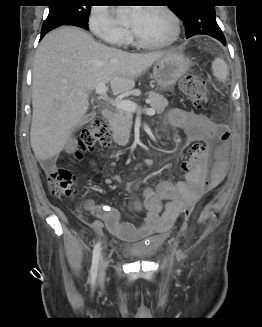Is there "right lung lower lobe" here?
I'll use <instances>...</instances> for the list:
<instances>
[{"label":"right lung lower lobe","mask_w":262,"mask_h":327,"mask_svg":"<svg viewBox=\"0 0 262 327\" xmlns=\"http://www.w3.org/2000/svg\"><path fill=\"white\" fill-rule=\"evenodd\" d=\"M62 25H74V26H78V27H81V28H84V29H88L87 24H84V23H81V22H78V21H62V22H58V23H55V24H52V25L42 27L41 38L40 39H42L52 29H54L56 27H59V26H62Z\"/></svg>","instance_id":"98d812e1"}]
</instances>
